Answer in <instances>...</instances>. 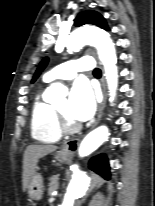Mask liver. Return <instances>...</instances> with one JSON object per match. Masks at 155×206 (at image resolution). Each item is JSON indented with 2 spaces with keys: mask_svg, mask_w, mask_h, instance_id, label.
<instances>
[{
  "mask_svg": "<svg viewBox=\"0 0 155 206\" xmlns=\"http://www.w3.org/2000/svg\"><path fill=\"white\" fill-rule=\"evenodd\" d=\"M55 145H29L24 152L23 159V189L26 190L32 175L35 173L40 158L54 152Z\"/></svg>",
  "mask_w": 155,
  "mask_h": 206,
  "instance_id": "1",
  "label": "liver"
}]
</instances>
